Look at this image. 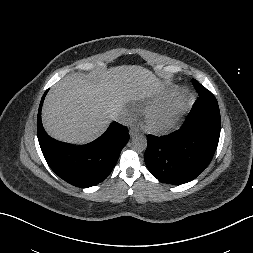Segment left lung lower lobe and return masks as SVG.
<instances>
[{"label": "left lung lower lobe", "instance_id": "left-lung-lower-lobe-1", "mask_svg": "<svg viewBox=\"0 0 253 253\" xmlns=\"http://www.w3.org/2000/svg\"><path fill=\"white\" fill-rule=\"evenodd\" d=\"M192 83L199 98L181 128L164 137L148 135L146 166L168 184L195 179L211 162L219 141L218 102L197 80L192 79Z\"/></svg>", "mask_w": 253, "mask_h": 253}]
</instances>
